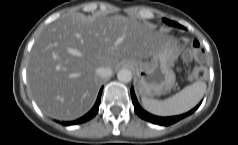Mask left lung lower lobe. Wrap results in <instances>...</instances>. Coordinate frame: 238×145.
<instances>
[{
	"label": "left lung lower lobe",
	"instance_id": "0a47b994",
	"mask_svg": "<svg viewBox=\"0 0 238 145\" xmlns=\"http://www.w3.org/2000/svg\"><path fill=\"white\" fill-rule=\"evenodd\" d=\"M179 28H183V27L181 25H179ZM131 97H132V102L134 104L135 112L137 113V115L140 118H142V119H144L146 121H149L151 123L158 124V125H164V126H168V125L174 124V123L178 122L179 120L187 117L188 115L192 114L199 107V105L201 104V103H199V105H197L191 111H189V112H187L185 114L179 115V116L157 117V116L149 114L148 112H146L145 110H143L141 108V106L139 105V103L137 101V98L135 96L133 88H131Z\"/></svg>",
	"mask_w": 238,
	"mask_h": 145
}]
</instances>
